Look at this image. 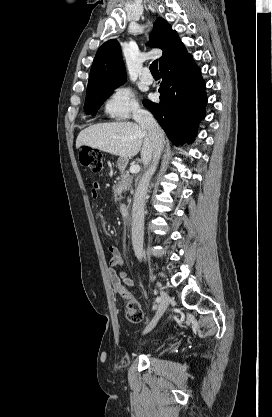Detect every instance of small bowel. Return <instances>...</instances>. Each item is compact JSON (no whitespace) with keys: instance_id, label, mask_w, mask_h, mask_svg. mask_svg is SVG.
Segmentation results:
<instances>
[{"instance_id":"1","label":"small bowel","mask_w":272,"mask_h":417,"mask_svg":"<svg viewBox=\"0 0 272 417\" xmlns=\"http://www.w3.org/2000/svg\"><path fill=\"white\" fill-rule=\"evenodd\" d=\"M100 189V184L97 181H94L91 188V197L93 199L98 198ZM110 254V270L109 275L114 291L117 293L116 286L118 284L124 285L126 288H133L135 286V281L128 276L127 272L124 269V259L116 246H110L108 248Z\"/></svg>"}]
</instances>
